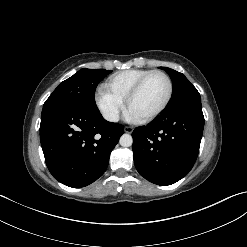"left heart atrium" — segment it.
<instances>
[{
  "label": "left heart atrium",
  "mask_w": 247,
  "mask_h": 247,
  "mask_svg": "<svg viewBox=\"0 0 247 247\" xmlns=\"http://www.w3.org/2000/svg\"><path fill=\"white\" fill-rule=\"evenodd\" d=\"M129 117H130V119H132V120H138L139 118L135 115V114H133L131 111H129Z\"/></svg>",
  "instance_id": "39dd6f15"
}]
</instances>
